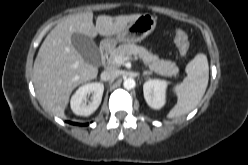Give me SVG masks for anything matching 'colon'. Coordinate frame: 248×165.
<instances>
[{
  "label": "colon",
  "instance_id": "1",
  "mask_svg": "<svg viewBox=\"0 0 248 165\" xmlns=\"http://www.w3.org/2000/svg\"><path fill=\"white\" fill-rule=\"evenodd\" d=\"M174 41L181 55H186L190 49V41L187 33L183 30H176Z\"/></svg>",
  "mask_w": 248,
  "mask_h": 165
}]
</instances>
